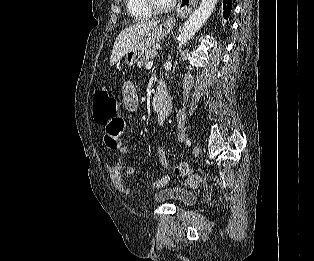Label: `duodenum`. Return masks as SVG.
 <instances>
[{"label": "duodenum", "mask_w": 314, "mask_h": 261, "mask_svg": "<svg viewBox=\"0 0 314 261\" xmlns=\"http://www.w3.org/2000/svg\"><path fill=\"white\" fill-rule=\"evenodd\" d=\"M171 99L162 81L158 82L157 91L153 97L152 107L157 117L163 116L170 109Z\"/></svg>", "instance_id": "1"}]
</instances>
